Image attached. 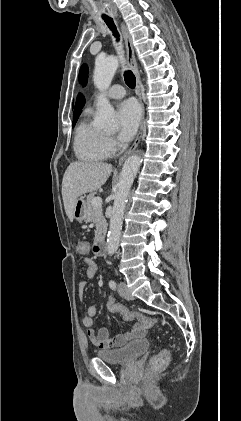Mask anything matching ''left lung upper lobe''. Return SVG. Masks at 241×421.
I'll return each mask as SVG.
<instances>
[{"mask_svg":"<svg viewBox=\"0 0 241 421\" xmlns=\"http://www.w3.org/2000/svg\"><path fill=\"white\" fill-rule=\"evenodd\" d=\"M87 73H88V67L84 64L81 66L80 72H79V79L83 86L87 83Z\"/></svg>","mask_w":241,"mask_h":421,"instance_id":"obj_1","label":"left lung upper lobe"}]
</instances>
